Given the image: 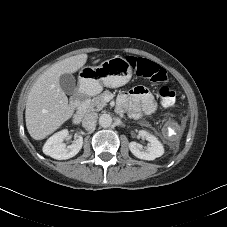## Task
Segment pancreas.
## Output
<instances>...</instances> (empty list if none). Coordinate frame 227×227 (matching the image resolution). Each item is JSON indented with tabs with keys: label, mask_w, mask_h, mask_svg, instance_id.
Wrapping results in <instances>:
<instances>
[{
	"label": "pancreas",
	"mask_w": 227,
	"mask_h": 227,
	"mask_svg": "<svg viewBox=\"0 0 227 227\" xmlns=\"http://www.w3.org/2000/svg\"><path fill=\"white\" fill-rule=\"evenodd\" d=\"M109 94V91H104L100 95L94 97L91 100L90 106H89V111H100L102 110L106 105V101L104 98Z\"/></svg>",
	"instance_id": "pancreas-1"
}]
</instances>
